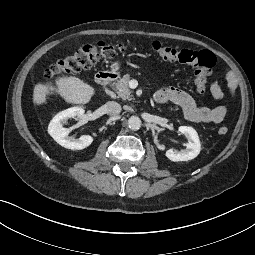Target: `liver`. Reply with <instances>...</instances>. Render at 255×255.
Segmentation results:
<instances>
[{
  "label": "liver",
  "instance_id": "6515ba94",
  "mask_svg": "<svg viewBox=\"0 0 255 255\" xmlns=\"http://www.w3.org/2000/svg\"><path fill=\"white\" fill-rule=\"evenodd\" d=\"M58 94L67 103L87 104L95 94V89L77 77H60L56 79V88L50 82H39L34 86L33 103L43 105L47 102V96Z\"/></svg>",
  "mask_w": 255,
  "mask_h": 255
}]
</instances>
